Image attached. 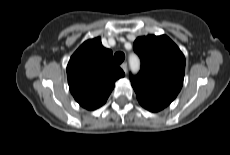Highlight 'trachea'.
<instances>
[{
	"mask_svg": "<svg viewBox=\"0 0 230 155\" xmlns=\"http://www.w3.org/2000/svg\"><path fill=\"white\" fill-rule=\"evenodd\" d=\"M125 59V55L123 52H116L114 54V61L117 63V64H121Z\"/></svg>",
	"mask_w": 230,
	"mask_h": 155,
	"instance_id": "1",
	"label": "trachea"
}]
</instances>
